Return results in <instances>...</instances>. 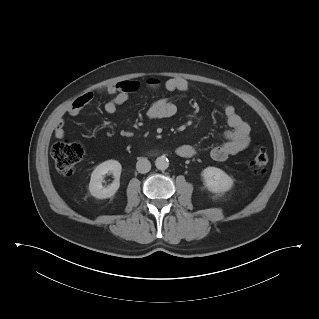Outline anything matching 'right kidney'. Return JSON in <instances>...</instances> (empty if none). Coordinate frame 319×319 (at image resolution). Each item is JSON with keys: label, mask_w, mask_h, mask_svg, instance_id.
I'll list each match as a JSON object with an SVG mask.
<instances>
[{"label": "right kidney", "mask_w": 319, "mask_h": 319, "mask_svg": "<svg viewBox=\"0 0 319 319\" xmlns=\"http://www.w3.org/2000/svg\"><path fill=\"white\" fill-rule=\"evenodd\" d=\"M122 166L116 160H107L99 164L91 174V180L89 183V191L92 196L98 199L110 198L113 196L120 186V175H121ZM107 173L114 175L115 180L113 183L104 187L102 185L103 177Z\"/></svg>", "instance_id": "obj_1"}]
</instances>
